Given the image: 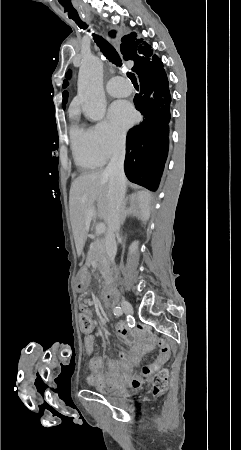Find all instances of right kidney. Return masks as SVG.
I'll list each match as a JSON object with an SVG mask.
<instances>
[{
  "label": "right kidney",
  "instance_id": "right-kidney-1",
  "mask_svg": "<svg viewBox=\"0 0 241 450\" xmlns=\"http://www.w3.org/2000/svg\"><path fill=\"white\" fill-rule=\"evenodd\" d=\"M138 248V242H133V244H131L130 246V252H135V250H137Z\"/></svg>",
  "mask_w": 241,
  "mask_h": 450
}]
</instances>
